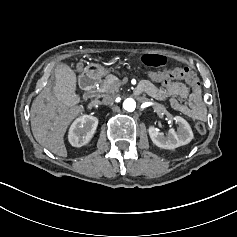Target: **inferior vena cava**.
<instances>
[{
	"instance_id": "1",
	"label": "inferior vena cava",
	"mask_w": 237,
	"mask_h": 237,
	"mask_svg": "<svg viewBox=\"0 0 237 237\" xmlns=\"http://www.w3.org/2000/svg\"><path fill=\"white\" fill-rule=\"evenodd\" d=\"M116 98H117L116 95H106L103 98L102 103L104 105H112L116 101Z\"/></svg>"
}]
</instances>
